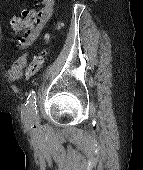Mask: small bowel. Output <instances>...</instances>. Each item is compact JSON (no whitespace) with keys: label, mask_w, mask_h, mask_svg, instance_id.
<instances>
[{"label":"small bowel","mask_w":143,"mask_h":170,"mask_svg":"<svg viewBox=\"0 0 143 170\" xmlns=\"http://www.w3.org/2000/svg\"><path fill=\"white\" fill-rule=\"evenodd\" d=\"M41 2L43 7L36 12L34 19L27 27H16L14 25L15 23L22 22L21 17L13 18L11 20V26L14 31H26L23 39L18 43V46L22 49H25L34 43L41 30L53 14L55 0H41ZM26 64V54L20 55L7 71V78L11 81H17L21 79L23 75V69L25 68Z\"/></svg>","instance_id":"1"}]
</instances>
